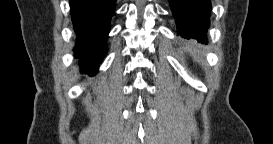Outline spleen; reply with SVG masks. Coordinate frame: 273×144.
<instances>
[{
  "label": "spleen",
  "instance_id": "obj_1",
  "mask_svg": "<svg viewBox=\"0 0 273 144\" xmlns=\"http://www.w3.org/2000/svg\"><path fill=\"white\" fill-rule=\"evenodd\" d=\"M192 54H193L195 59H200V57H201V54H200L199 50L196 47L192 48Z\"/></svg>",
  "mask_w": 273,
  "mask_h": 144
}]
</instances>
